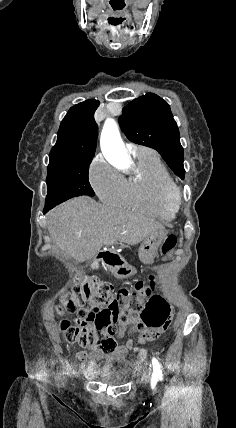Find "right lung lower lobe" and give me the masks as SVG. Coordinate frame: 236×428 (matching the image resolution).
I'll use <instances>...</instances> for the list:
<instances>
[{
    "label": "right lung lower lobe",
    "instance_id": "right-lung-lower-lobe-1",
    "mask_svg": "<svg viewBox=\"0 0 236 428\" xmlns=\"http://www.w3.org/2000/svg\"><path fill=\"white\" fill-rule=\"evenodd\" d=\"M54 206H45L43 213L45 214L46 212H48L50 209H52Z\"/></svg>",
    "mask_w": 236,
    "mask_h": 428
}]
</instances>
